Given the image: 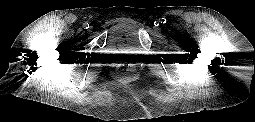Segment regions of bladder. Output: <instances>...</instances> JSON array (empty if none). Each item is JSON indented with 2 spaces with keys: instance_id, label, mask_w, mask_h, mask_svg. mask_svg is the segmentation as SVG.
I'll return each mask as SVG.
<instances>
[{
  "instance_id": "obj_1",
  "label": "bladder",
  "mask_w": 255,
  "mask_h": 122,
  "mask_svg": "<svg viewBox=\"0 0 255 122\" xmlns=\"http://www.w3.org/2000/svg\"><path fill=\"white\" fill-rule=\"evenodd\" d=\"M109 41L118 47L132 50L138 46L136 28L132 24L113 27L109 32Z\"/></svg>"
}]
</instances>
